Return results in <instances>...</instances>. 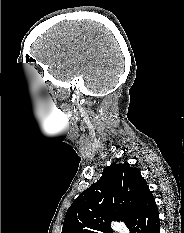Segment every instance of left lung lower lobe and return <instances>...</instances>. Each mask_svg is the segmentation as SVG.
Instances as JSON below:
<instances>
[{
  "label": "left lung lower lobe",
  "instance_id": "left-lung-lower-lobe-1",
  "mask_svg": "<svg viewBox=\"0 0 184 233\" xmlns=\"http://www.w3.org/2000/svg\"><path fill=\"white\" fill-rule=\"evenodd\" d=\"M130 233H160V219L155 199L149 191L126 224Z\"/></svg>",
  "mask_w": 184,
  "mask_h": 233
}]
</instances>
